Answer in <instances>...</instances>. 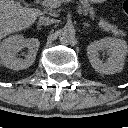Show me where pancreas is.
Masks as SVG:
<instances>
[{
    "label": "pancreas",
    "mask_w": 128,
    "mask_h": 128,
    "mask_svg": "<svg viewBox=\"0 0 128 128\" xmlns=\"http://www.w3.org/2000/svg\"><path fill=\"white\" fill-rule=\"evenodd\" d=\"M79 3H80V12L83 15H85V16L89 15L91 19H94L95 11H94L93 7H91V5H90V0H79ZM98 26L101 30L108 32V33H112L115 36H124L125 35V33L122 30L118 29V27L116 25L109 23L102 17L99 19Z\"/></svg>",
    "instance_id": "obj_1"
}]
</instances>
